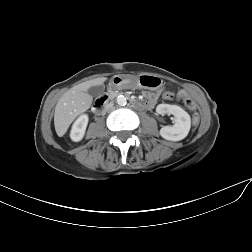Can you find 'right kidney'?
<instances>
[{"label":"right kidney","instance_id":"obj_1","mask_svg":"<svg viewBox=\"0 0 252 252\" xmlns=\"http://www.w3.org/2000/svg\"><path fill=\"white\" fill-rule=\"evenodd\" d=\"M88 120H89L88 115L82 114L74 122L70 132V138L74 142H78L82 140V138L84 137L88 125Z\"/></svg>","mask_w":252,"mask_h":252}]
</instances>
